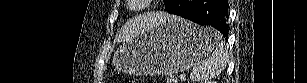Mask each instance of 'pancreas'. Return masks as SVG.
<instances>
[{
    "mask_svg": "<svg viewBox=\"0 0 307 83\" xmlns=\"http://www.w3.org/2000/svg\"><path fill=\"white\" fill-rule=\"evenodd\" d=\"M171 83H177V81L176 80H173V81H170Z\"/></svg>",
    "mask_w": 307,
    "mask_h": 83,
    "instance_id": "pancreas-1",
    "label": "pancreas"
}]
</instances>
